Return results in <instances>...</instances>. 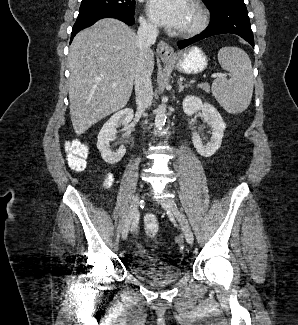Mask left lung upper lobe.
<instances>
[{"mask_svg":"<svg viewBox=\"0 0 298 325\" xmlns=\"http://www.w3.org/2000/svg\"><path fill=\"white\" fill-rule=\"evenodd\" d=\"M211 9V14L219 10L220 8L243 0H203Z\"/></svg>","mask_w":298,"mask_h":325,"instance_id":"5c2ea615","label":"left lung upper lobe"}]
</instances>
